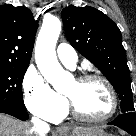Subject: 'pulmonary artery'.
<instances>
[{
    "instance_id": "obj_1",
    "label": "pulmonary artery",
    "mask_w": 136,
    "mask_h": 136,
    "mask_svg": "<svg viewBox=\"0 0 136 136\" xmlns=\"http://www.w3.org/2000/svg\"><path fill=\"white\" fill-rule=\"evenodd\" d=\"M57 56L59 60L67 67L74 68L78 57L72 46L66 43H61L57 47Z\"/></svg>"
}]
</instances>
